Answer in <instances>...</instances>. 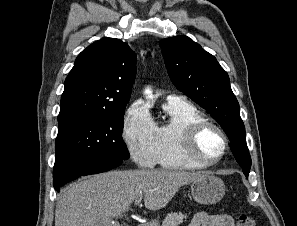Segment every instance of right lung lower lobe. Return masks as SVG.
Masks as SVG:
<instances>
[{
	"label": "right lung lower lobe",
	"mask_w": 297,
	"mask_h": 226,
	"mask_svg": "<svg viewBox=\"0 0 297 226\" xmlns=\"http://www.w3.org/2000/svg\"><path fill=\"white\" fill-rule=\"evenodd\" d=\"M122 164V161L99 155H87L63 160L55 163L53 185L57 192L64 184L80 176L106 172Z\"/></svg>",
	"instance_id": "98d812e1"
}]
</instances>
